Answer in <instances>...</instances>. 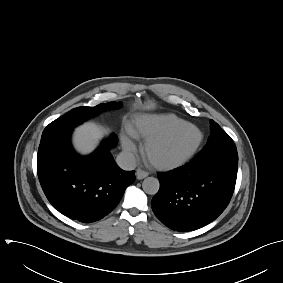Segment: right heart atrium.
Segmentation results:
<instances>
[{"label": "right heart atrium", "instance_id": "right-heart-atrium-1", "mask_svg": "<svg viewBox=\"0 0 283 283\" xmlns=\"http://www.w3.org/2000/svg\"><path fill=\"white\" fill-rule=\"evenodd\" d=\"M123 150L127 153H132L135 150V145L126 135L121 136Z\"/></svg>", "mask_w": 283, "mask_h": 283}]
</instances>
